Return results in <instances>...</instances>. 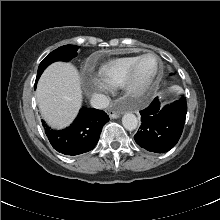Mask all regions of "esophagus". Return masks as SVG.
Masks as SVG:
<instances>
[{
    "mask_svg": "<svg viewBox=\"0 0 220 220\" xmlns=\"http://www.w3.org/2000/svg\"><path fill=\"white\" fill-rule=\"evenodd\" d=\"M108 115L110 116V118L112 119H116L120 116V113L119 112H116V111H113V110H110L108 112Z\"/></svg>",
    "mask_w": 220,
    "mask_h": 220,
    "instance_id": "34e87169",
    "label": "esophagus"
}]
</instances>
